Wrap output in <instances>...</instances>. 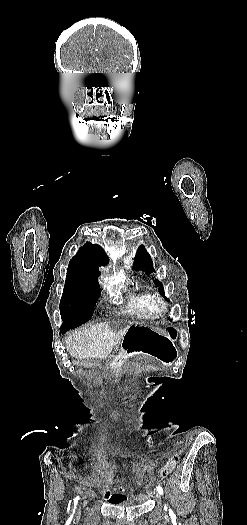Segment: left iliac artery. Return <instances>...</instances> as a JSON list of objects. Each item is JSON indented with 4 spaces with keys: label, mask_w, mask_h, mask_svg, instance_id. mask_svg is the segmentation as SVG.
Returning a JSON list of instances; mask_svg holds the SVG:
<instances>
[{
    "label": "left iliac artery",
    "mask_w": 247,
    "mask_h": 525,
    "mask_svg": "<svg viewBox=\"0 0 247 525\" xmlns=\"http://www.w3.org/2000/svg\"><path fill=\"white\" fill-rule=\"evenodd\" d=\"M156 489H157V491H158L159 494H161V495L163 494V489H162V487H161L160 485L157 486Z\"/></svg>",
    "instance_id": "obj_1"
}]
</instances>
